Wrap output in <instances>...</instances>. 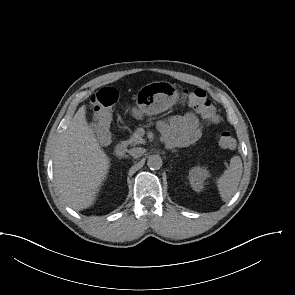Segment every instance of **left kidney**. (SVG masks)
I'll return each mask as SVG.
<instances>
[{
	"mask_svg": "<svg viewBox=\"0 0 295 295\" xmlns=\"http://www.w3.org/2000/svg\"><path fill=\"white\" fill-rule=\"evenodd\" d=\"M208 176L209 172L206 168L200 166L193 167L188 175L193 190L200 192L203 189L204 181Z\"/></svg>",
	"mask_w": 295,
	"mask_h": 295,
	"instance_id": "5707ae66",
	"label": "left kidney"
}]
</instances>
